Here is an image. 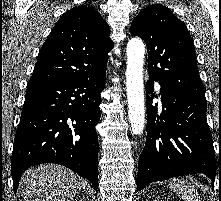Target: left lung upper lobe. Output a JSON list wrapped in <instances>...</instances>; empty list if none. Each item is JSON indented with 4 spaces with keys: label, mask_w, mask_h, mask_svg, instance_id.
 Instances as JSON below:
<instances>
[{
    "label": "left lung upper lobe",
    "mask_w": 221,
    "mask_h": 201,
    "mask_svg": "<svg viewBox=\"0 0 221 201\" xmlns=\"http://www.w3.org/2000/svg\"><path fill=\"white\" fill-rule=\"evenodd\" d=\"M130 31L146 43L150 78L168 90L205 96L190 33L170 9L148 6L132 21Z\"/></svg>",
    "instance_id": "obj_1"
}]
</instances>
